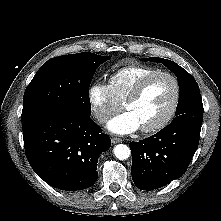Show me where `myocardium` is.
<instances>
[{
  "instance_id": "f54148a6",
  "label": "myocardium",
  "mask_w": 221,
  "mask_h": 221,
  "mask_svg": "<svg viewBox=\"0 0 221 221\" xmlns=\"http://www.w3.org/2000/svg\"><path fill=\"white\" fill-rule=\"evenodd\" d=\"M157 76H166L171 79L174 85V97L172 100V104L168 110V112L165 114V116L159 120L157 123L147 126V127H141V131L144 133H153L157 132L161 129H163L165 126H167L170 121L173 119L177 108L179 106L180 102V96H181V87L180 82L178 78L168 71L163 70H157L154 71L146 76H144L142 79L139 80V82L135 85V87L132 89V91L129 93V95L126 97V99L123 101V107L126 109L127 105L131 102L137 100L141 94L143 93L145 87L147 84L155 77Z\"/></svg>"
}]
</instances>
